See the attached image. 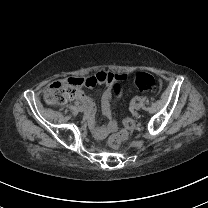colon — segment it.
<instances>
[{"mask_svg":"<svg viewBox=\"0 0 208 208\" xmlns=\"http://www.w3.org/2000/svg\"><path fill=\"white\" fill-rule=\"evenodd\" d=\"M100 83H107L111 87L114 97L120 98L122 96L124 83L120 79L114 78L112 73L98 72L88 79H75L74 83L69 79H60L57 82L48 84L43 89L42 97L48 105H63L71 101L75 97L76 91L80 90V88L94 87ZM135 84L144 92L157 93L160 90V85L156 78L144 72L136 74ZM135 127L136 124L134 121L125 119L121 123L123 130L111 136L109 145L117 146Z\"/></svg>","mask_w":208,"mask_h":208,"instance_id":"1","label":"colon"}]
</instances>
